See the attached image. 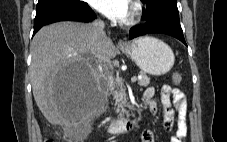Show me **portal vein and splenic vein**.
<instances>
[{"label":"portal vein and splenic vein","instance_id":"obj_1","mask_svg":"<svg viewBox=\"0 0 227 142\" xmlns=\"http://www.w3.org/2000/svg\"><path fill=\"white\" fill-rule=\"evenodd\" d=\"M139 78H141V77H139ZM136 80H137V77L136 76H133L132 78H131V82H136Z\"/></svg>","mask_w":227,"mask_h":142}]
</instances>
